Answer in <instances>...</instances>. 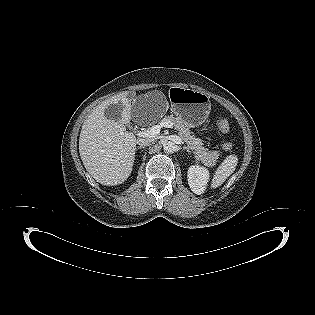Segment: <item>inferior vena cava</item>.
<instances>
[{
  "label": "inferior vena cava",
  "instance_id": "602c4592",
  "mask_svg": "<svg viewBox=\"0 0 315 315\" xmlns=\"http://www.w3.org/2000/svg\"><path fill=\"white\" fill-rule=\"evenodd\" d=\"M153 140L151 138H140L137 140L139 146H148Z\"/></svg>",
  "mask_w": 315,
  "mask_h": 315
}]
</instances>
